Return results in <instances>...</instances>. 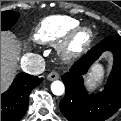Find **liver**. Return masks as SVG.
Returning a JSON list of instances; mask_svg holds the SVG:
<instances>
[{"instance_id":"6515ba94","label":"liver","mask_w":121,"mask_h":121,"mask_svg":"<svg viewBox=\"0 0 121 121\" xmlns=\"http://www.w3.org/2000/svg\"><path fill=\"white\" fill-rule=\"evenodd\" d=\"M19 53L14 35L1 32V93L14 77Z\"/></svg>"}]
</instances>
